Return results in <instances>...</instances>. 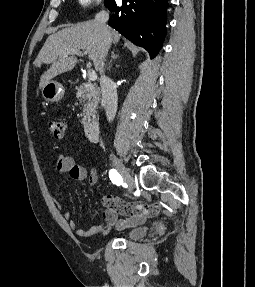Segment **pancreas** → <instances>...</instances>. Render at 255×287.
<instances>
[{
	"label": "pancreas",
	"instance_id": "pancreas-1",
	"mask_svg": "<svg viewBox=\"0 0 255 287\" xmlns=\"http://www.w3.org/2000/svg\"><path fill=\"white\" fill-rule=\"evenodd\" d=\"M77 90V98H80V104L83 108V122L82 124H88L91 122V116H95L96 108L101 100L100 92L96 88L95 84H82Z\"/></svg>",
	"mask_w": 255,
	"mask_h": 287
}]
</instances>
